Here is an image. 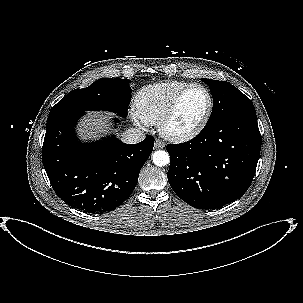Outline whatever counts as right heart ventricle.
<instances>
[{
  "mask_svg": "<svg viewBox=\"0 0 303 303\" xmlns=\"http://www.w3.org/2000/svg\"><path fill=\"white\" fill-rule=\"evenodd\" d=\"M189 84L174 80L141 88L134 99L136 112L147 124L158 123L177 94Z\"/></svg>",
  "mask_w": 303,
  "mask_h": 303,
  "instance_id": "e07e8e85",
  "label": "right heart ventricle"
}]
</instances>
